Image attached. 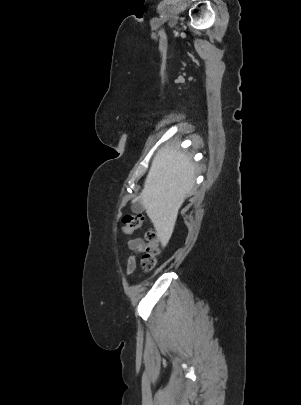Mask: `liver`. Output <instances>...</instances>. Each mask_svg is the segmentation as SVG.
<instances>
[{"instance_id":"1","label":"liver","mask_w":301,"mask_h":405,"mask_svg":"<svg viewBox=\"0 0 301 405\" xmlns=\"http://www.w3.org/2000/svg\"><path fill=\"white\" fill-rule=\"evenodd\" d=\"M195 183V164L179 144H165L153 158L140 200L165 246L173 233L178 211Z\"/></svg>"}]
</instances>
